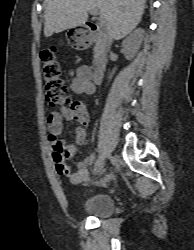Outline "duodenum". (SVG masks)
<instances>
[{
    "label": "duodenum",
    "instance_id": "obj_1",
    "mask_svg": "<svg viewBox=\"0 0 194 250\" xmlns=\"http://www.w3.org/2000/svg\"><path fill=\"white\" fill-rule=\"evenodd\" d=\"M85 30L86 34H82V36L87 39L90 44L98 43L101 48H105L107 46V39L99 25L87 22L85 24ZM105 66L106 60L102 54H99L93 62L91 78L94 83H99L102 80Z\"/></svg>",
    "mask_w": 194,
    "mask_h": 250
}]
</instances>
